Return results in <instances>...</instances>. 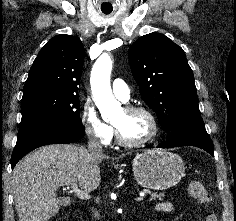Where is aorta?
Returning <instances> with one entry per match:
<instances>
[{"instance_id": "762f6f07", "label": "aorta", "mask_w": 236, "mask_h": 221, "mask_svg": "<svg viewBox=\"0 0 236 221\" xmlns=\"http://www.w3.org/2000/svg\"><path fill=\"white\" fill-rule=\"evenodd\" d=\"M97 70L101 71V80L97 79ZM112 70V60L108 54L101 55L93 68L91 75V89L103 118H114L123 113L119 101L112 94L110 86V74Z\"/></svg>"}]
</instances>
